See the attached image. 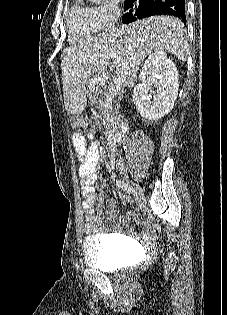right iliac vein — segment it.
<instances>
[{
	"instance_id": "63e3f726",
	"label": "right iliac vein",
	"mask_w": 227,
	"mask_h": 315,
	"mask_svg": "<svg viewBox=\"0 0 227 315\" xmlns=\"http://www.w3.org/2000/svg\"><path fill=\"white\" fill-rule=\"evenodd\" d=\"M123 177L124 179L126 180L127 184H131L134 186V195H135V198L138 200V201H141L144 197V193H143V190L140 188L139 185L133 183L130 179H129V176L127 173H124L123 174Z\"/></svg>"
}]
</instances>
